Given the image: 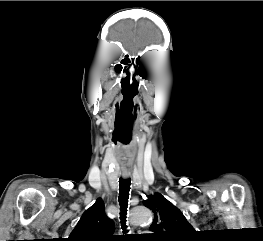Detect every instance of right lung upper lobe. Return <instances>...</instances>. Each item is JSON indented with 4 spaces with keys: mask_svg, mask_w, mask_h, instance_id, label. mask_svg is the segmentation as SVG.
Listing matches in <instances>:
<instances>
[{
    "mask_svg": "<svg viewBox=\"0 0 263 241\" xmlns=\"http://www.w3.org/2000/svg\"><path fill=\"white\" fill-rule=\"evenodd\" d=\"M114 223L104 213L101 198L87 209L67 241H112Z\"/></svg>",
    "mask_w": 263,
    "mask_h": 241,
    "instance_id": "right-lung-upper-lobe-1",
    "label": "right lung upper lobe"
}]
</instances>
